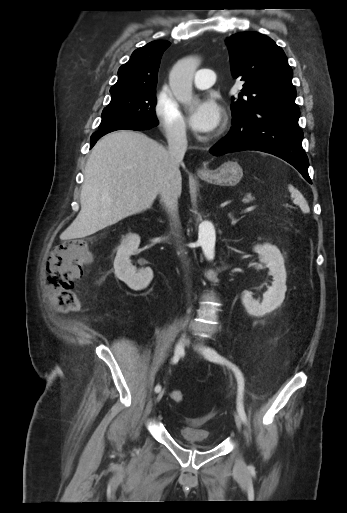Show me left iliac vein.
I'll list each match as a JSON object with an SVG mask.
<instances>
[{
    "label": "left iliac vein",
    "instance_id": "1",
    "mask_svg": "<svg viewBox=\"0 0 347 513\" xmlns=\"http://www.w3.org/2000/svg\"><path fill=\"white\" fill-rule=\"evenodd\" d=\"M196 349L199 353H202L203 349H204L203 344L199 339L196 341ZM234 419H235V423H236L238 430H241L242 419H241L240 415L238 413H235ZM245 467H246V464H245L244 460L242 458H239L236 462V470L240 472V471L244 470Z\"/></svg>",
    "mask_w": 347,
    "mask_h": 513
}]
</instances>
